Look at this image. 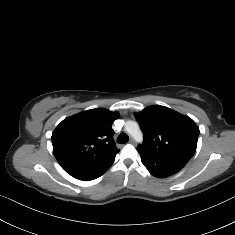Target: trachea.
<instances>
[{
	"mask_svg": "<svg viewBox=\"0 0 235 235\" xmlns=\"http://www.w3.org/2000/svg\"><path fill=\"white\" fill-rule=\"evenodd\" d=\"M128 140H129V137L125 133H121L117 138V142L121 144L127 143Z\"/></svg>",
	"mask_w": 235,
	"mask_h": 235,
	"instance_id": "trachea-1",
	"label": "trachea"
}]
</instances>
